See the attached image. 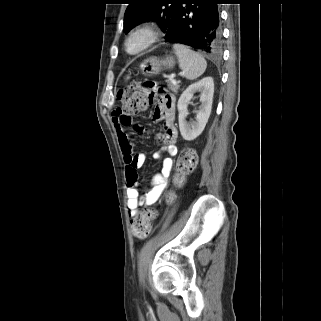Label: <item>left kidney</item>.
I'll list each match as a JSON object with an SVG mask.
<instances>
[{"instance_id": "1", "label": "left kidney", "mask_w": 321, "mask_h": 321, "mask_svg": "<svg viewBox=\"0 0 321 321\" xmlns=\"http://www.w3.org/2000/svg\"><path fill=\"white\" fill-rule=\"evenodd\" d=\"M200 91V108L196 111V122L188 124L186 116L188 114L187 105L193 98L195 92ZM214 94V81L212 77H205L190 85L180 96L177 104L179 116V129L182 137L186 141H192L197 138L204 130L208 122Z\"/></svg>"}]
</instances>
